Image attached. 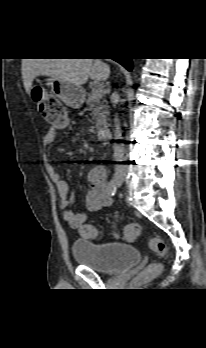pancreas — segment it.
<instances>
[{
	"label": "pancreas",
	"mask_w": 206,
	"mask_h": 348,
	"mask_svg": "<svg viewBox=\"0 0 206 348\" xmlns=\"http://www.w3.org/2000/svg\"><path fill=\"white\" fill-rule=\"evenodd\" d=\"M87 109L91 111L95 125L93 128L100 129L101 126H106L108 121V107L105 100L101 98H94L91 94H88L86 100Z\"/></svg>",
	"instance_id": "pancreas-1"
}]
</instances>
